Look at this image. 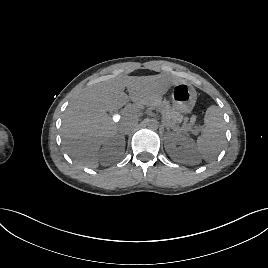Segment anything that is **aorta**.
I'll list each match as a JSON object with an SVG mask.
<instances>
[{"instance_id":"762f6f07","label":"aorta","mask_w":268,"mask_h":268,"mask_svg":"<svg viewBox=\"0 0 268 268\" xmlns=\"http://www.w3.org/2000/svg\"><path fill=\"white\" fill-rule=\"evenodd\" d=\"M146 126L151 130H157L159 128V122L154 118H150L147 120Z\"/></svg>"}]
</instances>
